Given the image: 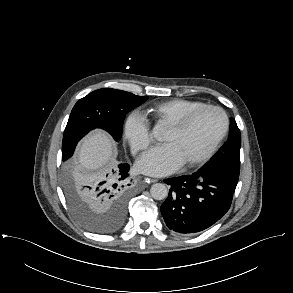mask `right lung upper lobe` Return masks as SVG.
<instances>
[{"mask_svg":"<svg viewBox=\"0 0 293 293\" xmlns=\"http://www.w3.org/2000/svg\"><path fill=\"white\" fill-rule=\"evenodd\" d=\"M68 168H70L73 172H76L70 165H66Z\"/></svg>","mask_w":293,"mask_h":293,"instance_id":"obj_1","label":"right lung upper lobe"}]
</instances>
